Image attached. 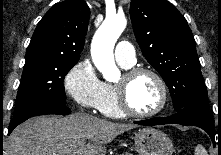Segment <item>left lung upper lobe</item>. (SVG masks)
<instances>
[{"mask_svg":"<svg viewBox=\"0 0 221 155\" xmlns=\"http://www.w3.org/2000/svg\"><path fill=\"white\" fill-rule=\"evenodd\" d=\"M130 16L142 53L168 86L174 109L207 99L195 40L182 14L167 0H132Z\"/></svg>","mask_w":221,"mask_h":155,"instance_id":"obj_1","label":"left lung upper lobe"}]
</instances>
